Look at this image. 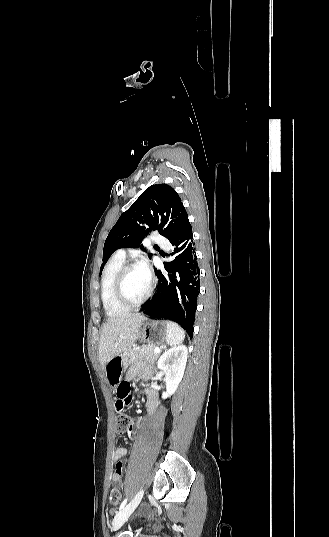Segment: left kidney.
<instances>
[{"instance_id":"left-kidney-1","label":"left kidney","mask_w":329,"mask_h":537,"mask_svg":"<svg viewBox=\"0 0 329 537\" xmlns=\"http://www.w3.org/2000/svg\"><path fill=\"white\" fill-rule=\"evenodd\" d=\"M188 349L184 345L173 347L163 353L157 366L165 371L166 392L162 398L166 399L173 395L181 382L187 362Z\"/></svg>"}]
</instances>
